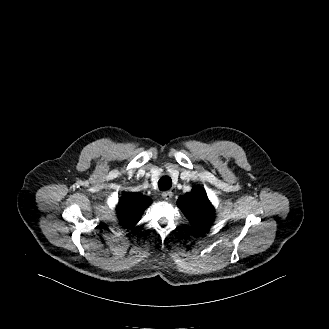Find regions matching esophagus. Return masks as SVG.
I'll return each mask as SVG.
<instances>
[{
    "label": "esophagus",
    "mask_w": 329,
    "mask_h": 329,
    "mask_svg": "<svg viewBox=\"0 0 329 329\" xmlns=\"http://www.w3.org/2000/svg\"><path fill=\"white\" fill-rule=\"evenodd\" d=\"M162 197L167 200L170 201L173 197V192L172 191H165L162 193Z\"/></svg>",
    "instance_id": "1"
}]
</instances>
